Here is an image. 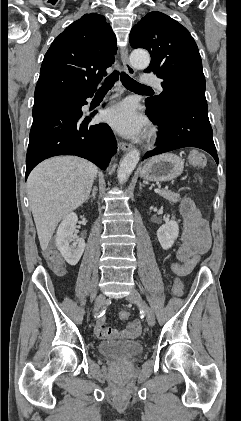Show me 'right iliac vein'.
Segmentation results:
<instances>
[{"label":"right iliac vein","mask_w":241,"mask_h":421,"mask_svg":"<svg viewBox=\"0 0 241 421\" xmlns=\"http://www.w3.org/2000/svg\"><path fill=\"white\" fill-rule=\"evenodd\" d=\"M105 303V296L100 294L95 301L94 311L97 312Z\"/></svg>","instance_id":"63e3f726"}]
</instances>
